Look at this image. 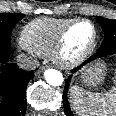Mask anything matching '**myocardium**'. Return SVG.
I'll return each instance as SVG.
<instances>
[{
    "mask_svg": "<svg viewBox=\"0 0 116 116\" xmlns=\"http://www.w3.org/2000/svg\"><path fill=\"white\" fill-rule=\"evenodd\" d=\"M81 23L89 24L92 28V37L86 47L81 53L74 57H68L66 53V38L70 31L77 25ZM98 38V31L96 25L89 19L78 18L73 19L68 23L58 34L55 45L52 50L53 61L62 68L71 69L75 68L82 63H84L88 57L91 55Z\"/></svg>",
    "mask_w": 116,
    "mask_h": 116,
    "instance_id": "myocardium-1",
    "label": "myocardium"
}]
</instances>
